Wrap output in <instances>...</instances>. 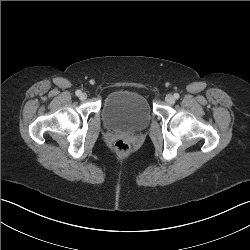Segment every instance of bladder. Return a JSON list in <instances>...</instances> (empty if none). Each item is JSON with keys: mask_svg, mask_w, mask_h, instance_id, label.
I'll return each instance as SVG.
<instances>
[{"mask_svg": "<svg viewBox=\"0 0 250 250\" xmlns=\"http://www.w3.org/2000/svg\"><path fill=\"white\" fill-rule=\"evenodd\" d=\"M101 113L108 128L121 132L141 131L151 121L147 99L142 94L129 90L110 93L103 102Z\"/></svg>", "mask_w": 250, "mask_h": 250, "instance_id": "obj_1", "label": "bladder"}]
</instances>
